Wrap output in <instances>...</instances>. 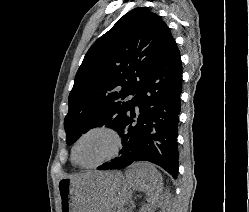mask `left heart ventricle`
Instances as JSON below:
<instances>
[{
    "mask_svg": "<svg viewBox=\"0 0 249 212\" xmlns=\"http://www.w3.org/2000/svg\"><path fill=\"white\" fill-rule=\"evenodd\" d=\"M115 149V140L108 133H95L84 138L77 149V161L91 165L108 157Z\"/></svg>",
    "mask_w": 249,
    "mask_h": 212,
    "instance_id": "left-heart-ventricle-1",
    "label": "left heart ventricle"
}]
</instances>
